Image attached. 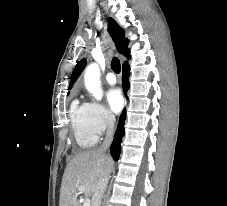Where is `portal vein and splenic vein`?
<instances>
[{
	"instance_id": "portal-vein-and-splenic-vein-1",
	"label": "portal vein and splenic vein",
	"mask_w": 227,
	"mask_h": 206,
	"mask_svg": "<svg viewBox=\"0 0 227 206\" xmlns=\"http://www.w3.org/2000/svg\"><path fill=\"white\" fill-rule=\"evenodd\" d=\"M78 190L82 192L85 190V188L83 186H79ZM83 206H90V199H85Z\"/></svg>"
}]
</instances>
